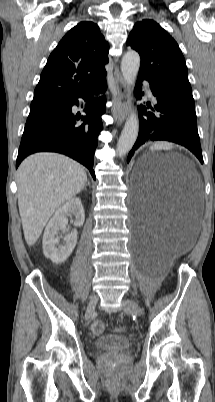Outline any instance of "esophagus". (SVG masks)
<instances>
[{
	"instance_id": "1",
	"label": "esophagus",
	"mask_w": 215,
	"mask_h": 402,
	"mask_svg": "<svg viewBox=\"0 0 215 402\" xmlns=\"http://www.w3.org/2000/svg\"><path fill=\"white\" fill-rule=\"evenodd\" d=\"M130 100V91L121 73L115 70V93L113 97L112 113L116 119L123 122L127 116V105Z\"/></svg>"
}]
</instances>
